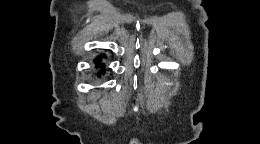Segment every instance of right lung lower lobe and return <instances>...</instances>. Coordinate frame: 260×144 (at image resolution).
I'll return each mask as SVG.
<instances>
[{
  "mask_svg": "<svg viewBox=\"0 0 260 144\" xmlns=\"http://www.w3.org/2000/svg\"><path fill=\"white\" fill-rule=\"evenodd\" d=\"M96 67L99 68L97 75L104 74L105 73V68L104 64H101V57H98L97 59L94 60Z\"/></svg>",
  "mask_w": 260,
  "mask_h": 144,
  "instance_id": "obj_1",
  "label": "right lung lower lobe"
}]
</instances>
